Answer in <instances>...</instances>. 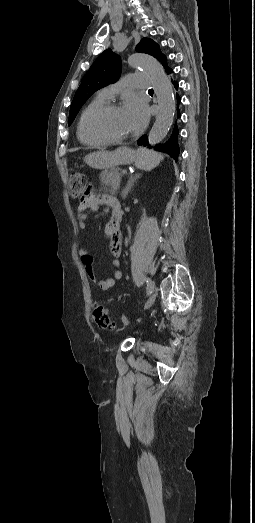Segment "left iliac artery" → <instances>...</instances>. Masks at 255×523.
I'll use <instances>...</instances> for the list:
<instances>
[{
	"label": "left iliac artery",
	"instance_id": "left-iliac-artery-1",
	"mask_svg": "<svg viewBox=\"0 0 255 523\" xmlns=\"http://www.w3.org/2000/svg\"><path fill=\"white\" fill-rule=\"evenodd\" d=\"M147 282V281H146ZM154 292V287H149L147 284V295H150Z\"/></svg>",
	"mask_w": 255,
	"mask_h": 523
}]
</instances>
